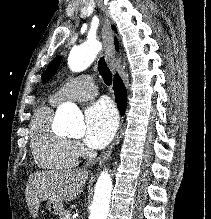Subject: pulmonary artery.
<instances>
[{"label":"pulmonary artery","instance_id":"1","mask_svg":"<svg viewBox=\"0 0 211 219\" xmlns=\"http://www.w3.org/2000/svg\"><path fill=\"white\" fill-rule=\"evenodd\" d=\"M97 94V88L88 75L72 78L65 82L50 97V102L59 104L66 100L84 101L92 99Z\"/></svg>","mask_w":211,"mask_h":219}]
</instances>
